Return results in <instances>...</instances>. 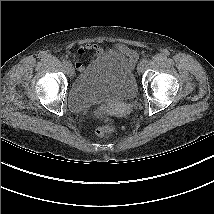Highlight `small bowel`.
<instances>
[{"instance_id": "1", "label": "small bowel", "mask_w": 214, "mask_h": 214, "mask_svg": "<svg viewBox=\"0 0 214 214\" xmlns=\"http://www.w3.org/2000/svg\"><path fill=\"white\" fill-rule=\"evenodd\" d=\"M115 48L118 53L125 55L129 59L131 65L135 63L136 60L138 59V53L136 51L129 50L126 46L122 44L116 45ZM86 51H91L93 53L92 56L90 57L91 61H94L96 58H98L100 55L104 53V49L96 43H86L84 45H81L77 50V56L73 55L74 65L78 71H84L85 69V65L79 59V56L84 55Z\"/></svg>"}]
</instances>
